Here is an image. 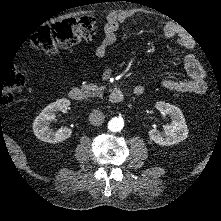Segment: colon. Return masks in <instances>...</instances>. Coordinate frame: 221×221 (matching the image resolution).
I'll list each match as a JSON object with an SVG mask.
<instances>
[{"label":"colon","instance_id":"obj_1","mask_svg":"<svg viewBox=\"0 0 221 221\" xmlns=\"http://www.w3.org/2000/svg\"><path fill=\"white\" fill-rule=\"evenodd\" d=\"M97 20L93 16L66 19L39 28L32 42L49 56L68 49L81 41L95 38ZM24 91V77L20 71H11L0 79V101L10 103L16 95Z\"/></svg>","mask_w":221,"mask_h":221}]
</instances>
